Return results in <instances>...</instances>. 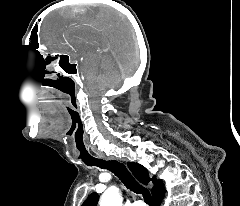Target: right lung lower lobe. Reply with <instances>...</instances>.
Listing matches in <instances>:
<instances>
[{
    "instance_id": "98d812e1",
    "label": "right lung lower lobe",
    "mask_w": 240,
    "mask_h": 206,
    "mask_svg": "<svg viewBox=\"0 0 240 206\" xmlns=\"http://www.w3.org/2000/svg\"><path fill=\"white\" fill-rule=\"evenodd\" d=\"M163 197H164V194L159 195V196H157V197H154V198H153L154 206H160V203H161Z\"/></svg>"
}]
</instances>
